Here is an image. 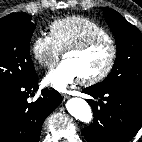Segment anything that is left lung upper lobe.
Here are the masks:
<instances>
[{"label": "left lung upper lobe", "mask_w": 142, "mask_h": 142, "mask_svg": "<svg viewBox=\"0 0 142 142\" xmlns=\"http://www.w3.org/2000/svg\"><path fill=\"white\" fill-rule=\"evenodd\" d=\"M105 20L115 36L117 57L110 74L96 84L100 88L112 85L142 88V34L118 12L101 7Z\"/></svg>", "instance_id": "5c2ea615"}]
</instances>
